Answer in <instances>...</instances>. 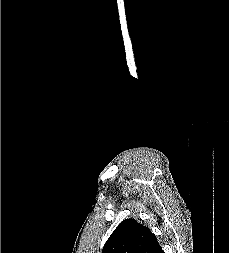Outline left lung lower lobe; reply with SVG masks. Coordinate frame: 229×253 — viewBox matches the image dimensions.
Masks as SVG:
<instances>
[{
	"instance_id": "0a47b994",
	"label": "left lung lower lobe",
	"mask_w": 229,
	"mask_h": 253,
	"mask_svg": "<svg viewBox=\"0 0 229 253\" xmlns=\"http://www.w3.org/2000/svg\"><path fill=\"white\" fill-rule=\"evenodd\" d=\"M155 253H164L163 250H162V248H161V246L156 250Z\"/></svg>"
}]
</instances>
